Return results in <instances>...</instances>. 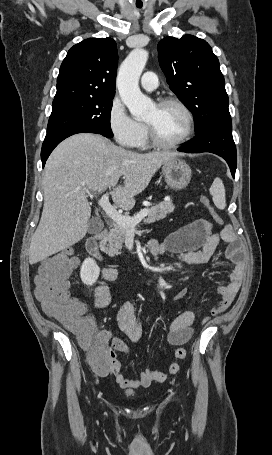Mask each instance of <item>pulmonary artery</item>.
I'll return each instance as SVG.
<instances>
[{"mask_svg": "<svg viewBox=\"0 0 272 455\" xmlns=\"http://www.w3.org/2000/svg\"><path fill=\"white\" fill-rule=\"evenodd\" d=\"M140 84L143 89L147 91H153L158 87V78L154 72H145L140 80Z\"/></svg>", "mask_w": 272, "mask_h": 455, "instance_id": "obj_1", "label": "pulmonary artery"}]
</instances>
